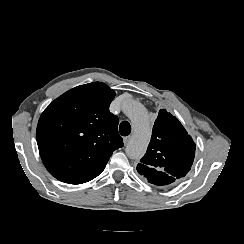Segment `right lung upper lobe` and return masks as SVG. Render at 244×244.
<instances>
[{"mask_svg": "<svg viewBox=\"0 0 244 244\" xmlns=\"http://www.w3.org/2000/svg\"><path fill=\"white\" fill-rule=\"evenodd\" d=\"M114 90L101 82L77 86L42 113L36 131L41 159L58 180L81 184L97 177L123 146L118 118L109 111Z\"/></svg>", "mask_w": 244, "mask_h": 244, "instance_id": "cb5924a9", "label": "right lung upper lobe"}]
</instances>
